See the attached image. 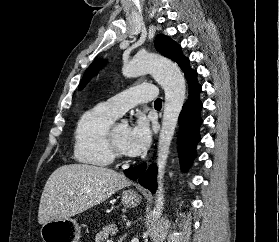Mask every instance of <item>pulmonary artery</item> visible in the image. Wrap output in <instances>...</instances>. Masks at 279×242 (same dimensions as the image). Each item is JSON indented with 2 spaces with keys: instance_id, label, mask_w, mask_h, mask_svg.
Here are the masks:
<instances>
[{
  "instance_id": "pulmonary-artery-1",
  "label": "pulmonary artery",
  "mask_w": 279,
  "mask_h": 242,
  "mask_svg": "<svg viewBox=\"0 0 279 242\" xmlns=\"http://www.w3.org/2000/svg\"><path fill=\"white\" fill-rule=\"evenodd\" d=\"M157 90L154 85L141 84L129 88L109 98L104 104L117 116H121L127 109L156 98Z\"/></svg>"
}]
</instances>
